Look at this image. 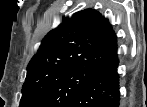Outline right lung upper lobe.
Listing matches in <instances>:
<instances>
[{"instance_id": "right-lung-upper-lobe-1", "label": "right lung upper lobe", "mask_w": 147, "mask_h": 107, "mask_svg": "<svg viewBox=\"0 0 147 107\" xmlns=\"http://www.w3.org/2000/svg\"><path fill=\"white\" fill-rule=\"evenodd\" d=\"M117 51V38L108 20L86 9L64 18L42 40L27 67V76L79 67L100 69Z\"/></svg>"}]
</instances>
